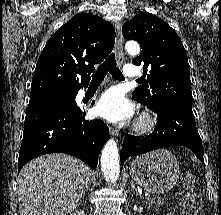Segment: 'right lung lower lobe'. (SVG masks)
<instances>
[{
  "mask_svg": "<svg viewBox=\"0 0 221 215\" xmlns=\"http://www.w3.org/2000/svg\"><path fill=\"white\" fill-rule=\"evenodd\" d=\"M77 93L72 97L75 100ZM103 121L85 120V110L75 101L27 110L18 172L30 160L49 153H66L96 169L98 155L109 139Z\"/></svg>",
  "mask_w": 221,
  "mask_h": 215,
  "instance_id": "98d812e1",
  "label": "right lung lower lobe"
}]
</instances>
